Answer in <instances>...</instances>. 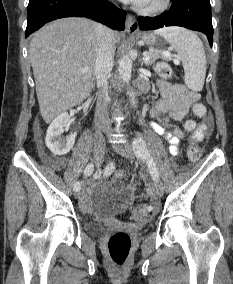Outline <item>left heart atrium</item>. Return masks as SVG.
<instances>
[{
    "instance_id": "1",
    "label": "left heart atrium",
    "mask_w": 233,
    "mask_h": 284,
    "mask_svg": "<svg viewBox=\"0 0 233 284\" xmlns=\"http://www.w3.org/2000/svg\"><path fill=\"white\" fill-rule=\"evenodd\" d=\"M121 1H124L126 3H132V4L137 5V6H142V5L145 4V2L147 0H121Z\"/></svg>"
}]
</instances>
